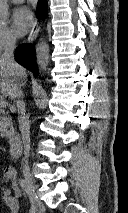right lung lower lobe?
<instances>
[{
    "instance_id": "obj_1",
    "label": "right lung lower lobe",
    "mask_w": 128,
    "mask_h": 213,
    "mask_svg": "<svg viewBox=\"0 0 128 213\" xmlns=\"http://www.w3.org/2000/svg\"><path fill=\"white\" fill-rule=\"evenodd\" d=\"M37 11L40 13L38 18H43L47 11L46 0H39ZM16 60L25 68L38 75L37 64L35 63L34 48L30 44L20 45L15 50Z\"/></svg>"
}]
</instances>
